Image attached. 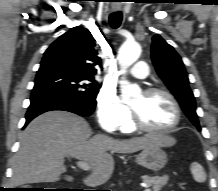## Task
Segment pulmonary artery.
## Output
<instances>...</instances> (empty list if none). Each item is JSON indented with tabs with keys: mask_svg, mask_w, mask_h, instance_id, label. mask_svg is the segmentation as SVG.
I'll use <instances>...</instances> for the list:
<instances>
[{
	"mask_svg": "<svg viewBox=\"0 0 218 191\" xmlns=\"http://www.w3.org/2000/svg\"><path fill=\"white\" fill-rule=\"evenodd\" d=\"M148 65L144 61H138L134 68L130 70V75L137 79H144L148 76Z\"/></svg>",
	"mask_w": 218,
	"mask_h": 191,
	"instance_id": "e3ab8cb5",
	"label": "pulmonary artery"
}]
</instances>
